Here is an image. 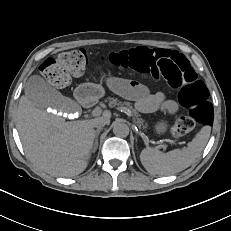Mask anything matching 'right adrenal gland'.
<instances>
[{
	"label": "right adrenal gland",
	"instance_id": "2a0ac1e0",
	"mask_svg": "<svg viewBox=\"0 0 231 231\" xmlns=\"http://www.w3.org/2000/svg\"><path fill=\"white\" fill-rule=\"evenodd\" d=\"M102 128H99L95 131V139H94V146H93V151H95L98 147V136L99 133L101 132Z\"/></svg>",
	"mask_w": 231,
	"mask_h": 231
}]
</instances>
